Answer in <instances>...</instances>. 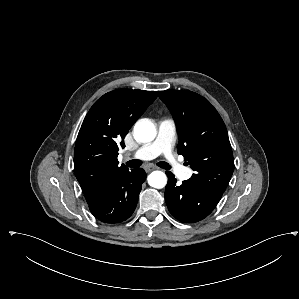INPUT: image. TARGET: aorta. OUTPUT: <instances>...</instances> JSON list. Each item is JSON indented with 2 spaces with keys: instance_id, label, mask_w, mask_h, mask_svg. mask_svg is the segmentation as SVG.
<instances>
[{
  "instance_id": "obj_1",
  "label": "aorta",
  "mask_w": 299,
  "mask_h": 299,
  "mask_svg": "<svg viewBox=\"0 0 299 299\" xmlns=\"http://www.w3.org/2000/svg\"><path fill=\"white\" fill-rule=\"evenodd\" d=\"M134 137L139 142H150L156 137V128L149 120H140L134 126ZM167 177L162 171H154L148 176V184L151 187L161 189L165 187Z\"/></svg>"
}]
</instances>
